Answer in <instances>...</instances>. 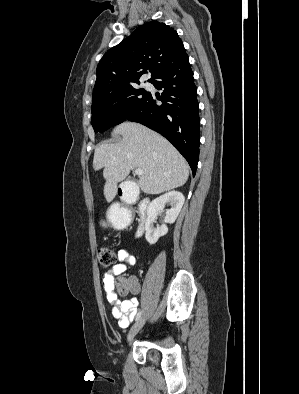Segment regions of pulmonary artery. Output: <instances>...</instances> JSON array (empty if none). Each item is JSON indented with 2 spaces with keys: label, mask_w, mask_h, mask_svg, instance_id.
I'll return each instance as SVG.
<instances>
[{
  "label": "pulmonary artery",
  "mask_w": 299,
  "mask_h": 394,
  "mask_svg": "<svg viewBox=\"0 0 299 394\" xmlns=\"http://www.w3.org/2000/svg\"><path fill=\"white\" fill-rule=\"evenodd\" d=\"M145 86L147 87V88H149V87H151V84L150 83H145Z\"/></svg>",
  "instance_id": "1"
}]
</instances>
